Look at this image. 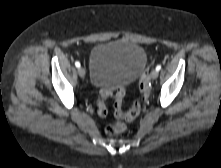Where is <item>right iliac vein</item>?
<instances>
[{"instance_id":"1","label":"right iliac vein","mask_w":221,"mask_h":168,"mask_svg":"<svg viewBox=\"0 0 221 168\" xmlns=\"http://www.w3.org/2000/svg\"><path fill=\"white\" fill-rule=\"evenodd\" d=\"M78 74L80 77H84L86 74V70L83 67L78 68Z\"/></svg>"}]
</instances>
